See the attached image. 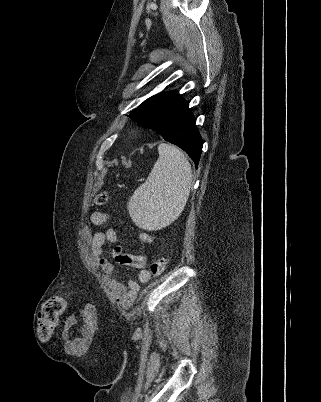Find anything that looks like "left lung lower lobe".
I'll list each match as a JSON object with an SVG mask.
<instances>
[{"label":"left lung lower lobe","instance_id":"0a47b994","mask_svg":"<svg viewBox=\"0 0 321 402\" xmlns=\"http://www.w3.org/2000/svg\"><path fill=\"white\" fill-rule=\"evenodd\" d=\"M154 130L166 141L182 148L198 166L203 141L188 102L177 91H171L161 104Z\"/></svg>","mask_w":321,"mask_h":402}]
</instances>
